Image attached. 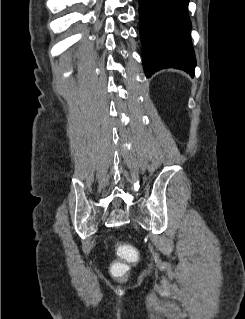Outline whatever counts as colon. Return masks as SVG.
<instances>
[{"label": "colon", "mask_w": 245, "mask_h": 319, "mask_svg": "<svg viewBox=\"0 0 245 319\" xmlns=\"http://www.w3.org/2000/svg\"><path fill=\"white\" fill-rule=\"evenodd\" d=\"M117 253L120 257H122L130 262H135L138 259V255H137V252L135 251V249L132 246L125 244V243L120 244L117 247ZM112 271L115 274L122 275L125 273L126 268L122 265H114L112 267Z\"/></svg>", "instance_id": "1"}]
</instances>
